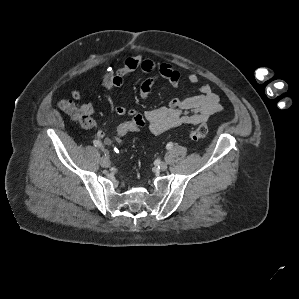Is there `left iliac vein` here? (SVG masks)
<instances>
[{"mask_svg":"<svg viewBox=\"0 0 299 299\" xmlns=\"http://www.w3.org/2000/svg\"><path fill=\"white\" fill-rule=\"evenodd\" d=\"M158 166H159V169L161 171H165L167 169V163L166 162H160Z\"/></svg>","mask_w":299,"mask_h":299,"instance_id":"obj_1","label":"left iliac vein"}]
</instances>
